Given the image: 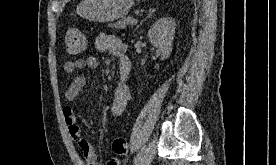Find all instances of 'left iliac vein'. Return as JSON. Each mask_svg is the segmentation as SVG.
Instances as JSON below:
<instances>
[{"label":"left iliac vein","instance_id":"4c4485c4","mask_svg":"<svg viewBox=\"0 0 276 165\" xmlns=\"http://www.w3.org/2000/svg\"><path fill=\"white\" fill-rule=\"evenodd\" d=\"M156 154V141L152 140L149 144V148L146 150L143 159L138 165H150Z\"/></svg>","mask_w":276,"mask_h":165}]
</instances>
